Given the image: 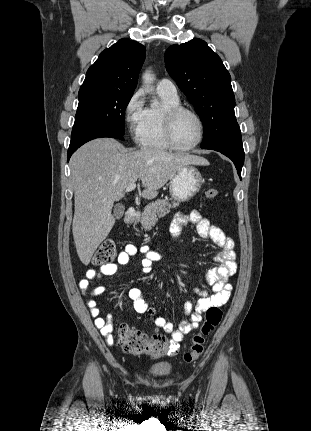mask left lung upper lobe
<instances>
[{
    "label": "left lung upper lobe",
    "instance_id": "1",
    "mask_svg": "<svg viewBox=\"0 0 311 431\" xmlns=\"http://www.w3.org/2000/svg\"><path fill=\"white\" fill-rule=\"evenodd\" d=\"M165 63L169 75L203 122L201 148L241 137L230 74L205 41L193 39L170 46L165 52Z\"/></svg>",
    "mask_w": 311,
    "mask_h": 431
}]
</instances>
